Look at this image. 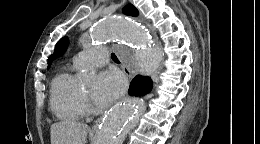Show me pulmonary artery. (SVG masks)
Segmentation results:
<instances>
[{"label": "pulmonary artery", "mask_w": 260, "mask_h": 144, "mask_svg": "<svg viewBox=\"0 0 260 144\" xmlns=\"http://www.w3.org/2000/svg\"><path fill=\"white\" fill-rule=\"evenodd\" d=\"M109 60L108 51L104 46H94L90 49L78 52L73 57V62L79 67H100Z\"/></svg>", "instance_id": "pulmonary-artery-1"}]
</instances>
